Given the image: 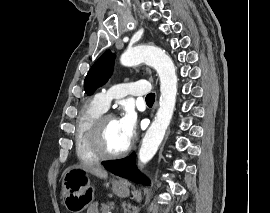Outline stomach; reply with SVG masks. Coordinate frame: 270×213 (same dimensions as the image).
I'll list each match as a JSON object with an SVG mask.
<instances>
[{
  "mask_svg": "<svg viewBox=\"0 0 270 213\" xmlns=\"http://www.w3.org/2000/svg\"><path fill=\"white\" fill-rule=\"evenodd\" d=\"M112 191L120 197L129 195L128 182L112 181ZM62 202L70 213H81L94 199L93 187L87 172L77 168L67 169L62 179Z\"/></svg>",
  "mask_w": 270,
  "mask_h": 213,
  "instance_id": "stomach-1",
  "label": "stomach"
}]
</instances>
